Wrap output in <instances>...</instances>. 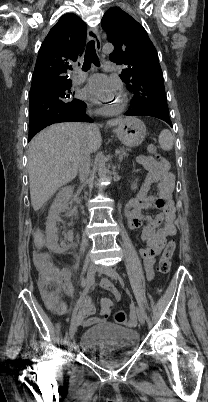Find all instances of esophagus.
<instances>
[{"label":"esophagus","instance_id":"34e87169","mask_svg":"<svg viewBox=\"0 0 208 402\" xmlns=\"http://www.w3.org/2000/svg\"><path fill=\"white\" fill-rule=\"evenodd\" d=\"M87 38L89 40H94L95 45H96V49L98 51L101 50V40H100V36H99L98 31L96 30V28H89L88 29Z\"/></svg>","mask_w":208,"mask_h":402}]
</instances>
